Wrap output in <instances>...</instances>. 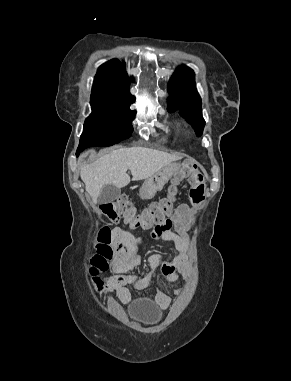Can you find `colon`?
I'll list each match as a JSON object with an SVG mask.
<instances>
[{"mask_svg":"<svg viewBox=\"0 0 291 381\" xmlns=\"http://www.w3.org/2000/svg\"><path fill=\"white\" fill-rule=\"evenodd\" d=\"M203 191V185L195 181L190 193L195 204L202 202ZM100 211L110 222H118L123 219L127 230L111 229L107 226L100 229L95 254L91 260L93 275L108 270L112 261H114L115 268H120L129 249L130 232L168 228L169 225L166 221L173 212V201L170 198H164L138 211L130 200L119 198L102 204ZM117 255L120 256L117 257Z\"/></svg>","mask_w":291,"mask_h":381,"instance_id":"1","label":"colon"}]
</instances>
